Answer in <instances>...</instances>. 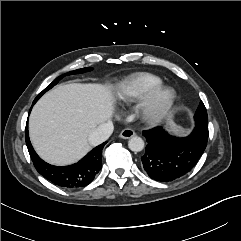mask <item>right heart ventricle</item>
Masks as SVG:
<instances>
[{
  "label": "right heart ventricle",
  "mask_w": 241,
  "mask_h": 241,
  "mask_svg": "<svg viewBox=\"0 0 241 241\" xmlns=\"http://www.w3.org/2000/svg\"><path fill=\"white\" fill-rule=\"evenodd\" d=\"M160 84H162V79L153 73H133L120 83L117 96L124 102H135L141 100L151 89Z\"/></svg>",
  "instance_id": "right-heart-ventricle-1"
}]
</instances>
